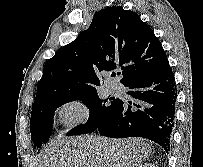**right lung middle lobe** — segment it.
<instances>
[{
    "instance_id": "right-lung-middle-lobe-1",
    "label": "right lung middle lobe",
    "mask_w": 203,
    "mask_h": 167,
    "mask_svg": "<svg viewBox=\"0 0 203 167\" xmlns=\"http://www.w3.org/2000/svg\"><path fill=\"white\" fill-rule=\"evenodd\" d=\"M75 100H81L88 105L90 117L85 124L73 128L67 135H80L95 131L102 119L114 109L118 102V99L114 98L101 100L97 91L78 96L58 97L47 101L33 109L31 113V139L37 147L47 143L51 136L55 110L63 104Z\"/></svg>"
}]
</instances>
